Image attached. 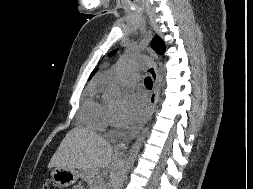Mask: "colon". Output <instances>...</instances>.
Listing matches in <instances>:
<instances>
[{
  "label": "colon",
  "mask_w": 253,
  "mask_h": 189,
  "mask_svg": "<svg viewBox=\"0 0 253 189\" xmlns=\"http://www.w3.org/2000/svg\"><path fill=\"white\" fill-rule=\"evenodd\" d=\"M42 189H61L57 183L53 180L46 179L43 182Z\"/></svg>",
  "instance_id": "5ec220e1"
}]
</instances>
